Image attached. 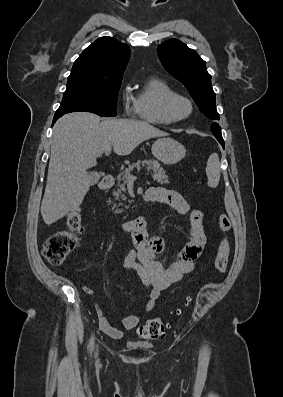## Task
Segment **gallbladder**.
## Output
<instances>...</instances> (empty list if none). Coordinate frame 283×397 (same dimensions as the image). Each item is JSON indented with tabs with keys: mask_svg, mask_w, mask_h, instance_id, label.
<instances>
[{
	"mask_svg": "<svg viewBox=\"0 0 283 397\" xmlns=\"http://www.w3.org/2000/svg\"><path fill=\"white\" fill-rule=\"evenodd\" d=\"M90 179H91L92 183L95 184L99 180V175L98 174H91L90 175Z\"/></svg>",
	"mask_w": 283,
	"mask_h": 397,
	"instance_id": "1",
	"label": "gallbladder"
}]
</instances>
